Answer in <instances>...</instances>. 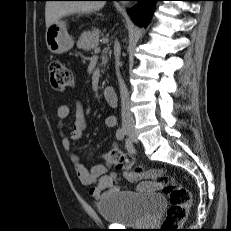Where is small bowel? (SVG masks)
<instances>
[{
	"label": "small bowel",
	"instance_id": "small-bowel-1",
	"mask_svg": "<svg viewBox=\"0 0 231 231\" xmlns=\"http://www.w3.org/2000/svg\"><path fill=\"white\" fill-rule=\"evenodd\" d=\"M70 108L61 104L57 108L58 124L62 127L63 122L69 117ZM104 124L107 128H113L116 125V118L109 115L105 118ZM86 127V114L83 106L78 102L75 108V120L68 136H62L61 145L68 153L69 160L74 166L78 179L83 185L89 186V194L99 199L105 195L116 193L122 189L118 183L119 175L117 172L108 174L109 168L113 165L112 161L105 159L101 164L93 165L90 168L84 166L72 150V142L78 141L82 138L84 129ZM116 147V145H114ZM160 185L151 181L139 182L135 190L142 193H151L157 191Z\"/></svg>",
	"mask_w": 231,
	"mask_h": 231
}]
</instances>
